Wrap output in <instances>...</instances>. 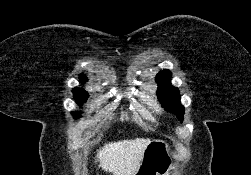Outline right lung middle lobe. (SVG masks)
<instances>
[{
	"label": "right lung middle lobe",
	"mask_w": 251,
	"mask_h": 175,
	"mask_svg": "<svg viewBox=\"0 0 251 175\" xmlns=\"http://www.w3.org/2000/svg\"><path fill=\"white\" fill-rule=\"evenodd\" d=\"M73 94H74V98L76 102L80 105L86 102L87 98L89 97L88 93L85 90L80 89V88L73 89ZM73 115L74 117H79L80 113L74 112Z\"/></svg>",
	"instance_id": "obj_1"
}]
</instances>
